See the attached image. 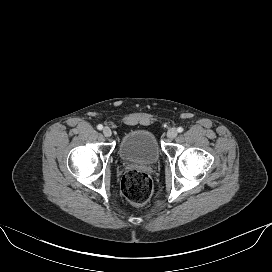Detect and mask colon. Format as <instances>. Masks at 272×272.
Wrapping results in <instances>:
<instances>
[{
    "mask_svg": "<svg viewBox=\"0 0 272 272\" xmlns=\"http://www.w3.org/2000/svg\"><path fill=\"white\" fill-rule=\"evenodd\" d=\"M121 189L128 201L136 205H143L152 195L153 183L146 173L133 169L123 176Z\"/></svg>",
    "mask_w": 272,
    "mask_h": 272,
    "instance_id": "colon-1",
    "label": "colon"
}]
</instances>
